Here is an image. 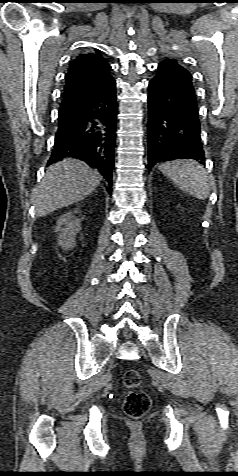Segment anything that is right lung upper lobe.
Returning a JSON list of instances; mask_svg holds the SVG:
<instances>
[{
  "label": "right lung upper lobe",
  "mask_w": 238,
  "mask_h": 476,
  "mask_svg": "<svg viewBox=\"0 0 238 476\" xmlns=\"http://www.w3.org/2000/svg\"><path fill=\"white\" fill-rule=\"evenodd\" d=\"M110 69L97 49L95 52L79 54L70 63L65 76L59 111L75 106L101 90L112 78Z\"/></svg>",
  "instance_id": "1"
}]
</instances>
